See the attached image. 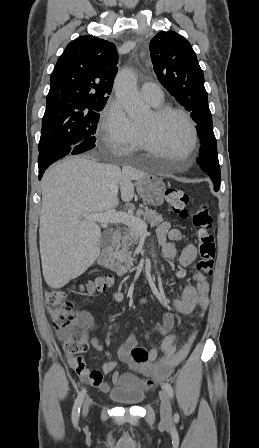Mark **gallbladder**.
<instances>
[{
	"label": "gallbladder",
	"mask_w": 259,
	"mask_h": 448,
	"mask_svg": "<svg viewBox=\"0 0 259 448\" xmlns=\"http://www.w3.org/2000/svg\"><path fill=\"white\" fill-rule=\"evenodd\" d=\"M141 170H146V166H140ZM102 246H110L112 244V230H105L101 236Z\"/></svg>",
	"instance_id": "1"
}]
</instances>
